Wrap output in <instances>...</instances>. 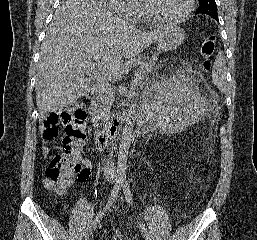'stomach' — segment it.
Returning <instances> with one entry per match:
<instances>
[{"label": "stomach", "mask_w": 257, "mask_h": 240, "mask_svg": "<svg viewBox=\"0 0 257 240\" xmlns=\"http://www.w3.org/2000/svg\"><path fill=\"white\" fill-rule=\"evenodd\" d=\"M185 39V32L176 25H166L156 42L157 51H169L177 48Z\"/></svg>", "instance_id": "1"}]
</instances>
